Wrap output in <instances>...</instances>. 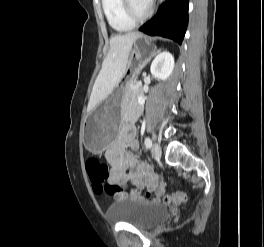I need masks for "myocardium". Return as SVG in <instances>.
I'll list each match as a JSON object with an SVG mask.
<instances>
[{
  "label": "myocardium",
  "instance_id": "f54148a6",
  "mask_svg": "<svg viewBox=\"0 0 264 247\" xmlns=\"http://www.w3.org/2000/svg\"><path fill=\"white\" fill-rule=\"evenodd\" d=\"M122 7L126 17L133 23H140L145 21L151 16L153 12L152 6L148 5L147 10L143 14L141 15L136 14L133 9L131 0H122Z\"/></svg>",
  "mask_w": 264,
  "mask_h": 247
}]
</instances>
